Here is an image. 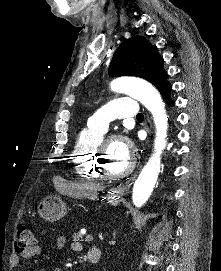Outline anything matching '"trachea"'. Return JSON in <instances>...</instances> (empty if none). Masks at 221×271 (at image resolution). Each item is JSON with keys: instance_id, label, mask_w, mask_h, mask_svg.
I'll return each instance as SVG.
<instances>
[{"instance_id": "trachea-1", "label": "trachea", "mask_w": 221, "mask_h": 271, "mask_svg": "<svg viewBox=\"0 0 221 271\" xmlns=\"http://www.w3.org/2000/svg\"><path fill=\"white\" fill-rule=\"evenodd\" d=\"M136 118H137V120H142V121H143V119H144L143 113H138V114L136 115Z\"/></svg>"}]
</instances>
